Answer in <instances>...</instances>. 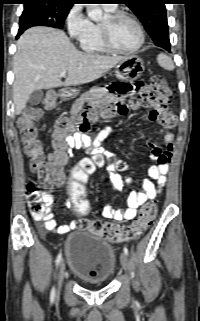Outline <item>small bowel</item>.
<instances>
[{
	"mask_svg": "<svg viewBox=\"0 0 200 321\" xmlns=\"http://www.w3.org/2000/svg\"><path fill=\"white\" fill-rule=\"evenodd\" d=\"M144 83H134V82H123L122 80H115L111 82L109 86L100 91L96 95L88 96L81 99L76 106L79 109L81 104L85 101L103 102L105 104L118 105L120 102H125L128 98H133L134 96H139L140 91L144 90ZM108 98V99H107ZM165 107H155L146 115V119L150 121H160L165 126V141L166 148L162 150L159 146L152 142H148L151 148L150 158L157 163L152 165L148 170L149 178H145L142 181V189L139 191H131L127 196V208H115L111 205H106L102 209V216L106 219H111L114 221H130L134 219L137 215L138 208L145 203L148 199L154 198L158 189L154 185L152 180H155L159 187L166 183V174L169 169V160L171 157L172 145H173V135L170 131V127L167 125V119L169 117ZM112 129L110 127H104L95 133H81L74 132L65 135L63 138V144L66 147V152L63 160V165L66 163L69 156V149H83L85 153L92 155L93 157H98L102 159V163L105 160H111V156L103 150V141L111 134ZM110 181L116 186L120 187L122 185L121 178L114 173V168L109 169ZM64 183V176L57 180L54 186H61ZM44 202L48 207L46 214L37 218L39 221H43L41 225L42 232L53 231L58 234H66L71 230L80 227L79 222H71L69 224L57 225L56 221L53 219V214L51 212V207L53 206L54 198L51 192H46L44 194ZM65 207L70 209V201L65 203Z\"/></svg>",
	"mask_w": 200,
	"mask_h": 321,
	"instance_id": "c3829d8e",
	"label": "small bowel"
}]
</instances>
